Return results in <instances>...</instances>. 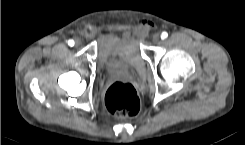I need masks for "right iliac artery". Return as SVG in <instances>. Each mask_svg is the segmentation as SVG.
Listing matches in <instances>:
<instances>
[{
    "instance_id": "right-iliac-artery-1",
    "label": "right iliac artery",
    "mask_w": 245,
    "mask_h": 145,
    "mask_svg": "<svg viewBox=\"0 0 245 145\" xmlns=\"http://www.w3.org/2000/svg\"><path fill=\"white\" fill-rule=\"evenodd\" d=\"M68 45L69 46H73L74 45V41L72 39L68 40Z\"/></svg>"
}]
</instances>
